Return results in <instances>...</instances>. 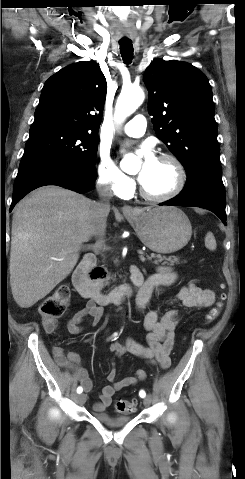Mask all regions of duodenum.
<instances>
[{
	"mask_svg": "<svg viewBox=\"0 0 245 479\" xmlns=\"http://www.w3.org/2000/svg\"><path fill=\"white\" fill-rule=\"evenodd\" d=\"M136 268V267H132ZM102 273L97 267V259L92 254H86L73 274V285L83 298H90L100 305L120 303L124 298L139 293L144 286L139 270L131 269V284L123 285L103 292L99 281Z\"/></svg>",
	"mask_w": 245,
	"mask_h": 479,
	"instance_id": "410a0bca",
	"label": "duodenum"
}]
</instances>
